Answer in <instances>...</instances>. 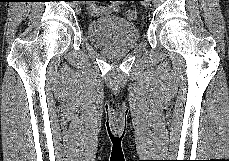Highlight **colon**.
I'll return each instance as SVG.
<instances>
[{
  "label": "colon",
  "instance_id": "colon-1",
  "mask_svg": "<svg viewBox=\"0 0 229 161\" xmlns=\"http://www.w3.org/2000/svg\"><path fill=\"white\" fill-rule=\"evenodd\" d=\"M89 1H96V0H89ZM112 1H116V0H112ZM138 14H139L138 10L134 8H130L125 11V17L128 20H135L138 17Z\"/></svg>",
  "mask_w": 229,
  "mask_h": 161
}]
</instances>
